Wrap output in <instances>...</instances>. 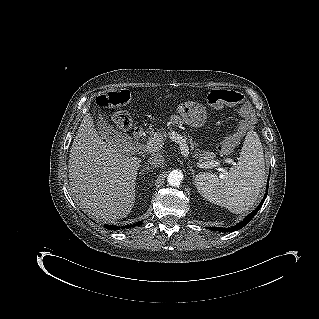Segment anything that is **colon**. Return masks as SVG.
Wrapping results in <instances>:
<instances>
[{
    "mask_svg": "<svg viewBox=\"0 0 319 319\" xmlns=\"http://www.w3.org/2000/svg\"><path fill=\"white\" fill-rule=\"evenodd\" d=\"M130 100V93L126 90L121 91H111L105 95H102L98 98V105L101 107H121L127 104ZM207 101L211 105H238L243 101L242 95L238 92L230 89H217L212 90L208 96ZM243 114L249 112L247 106L241 108ZM115 124L120 129H127L131 124L130 115L123 110L116 112ZM240 134L229 137L218 144V150L222 155H230L233 152L234 146L239 141Z\"/></svg>",
    "mask_w": 319,
    "mask_h": 319,
    "instance_id": "1",
    "label": "colon"
}]
</instances>
